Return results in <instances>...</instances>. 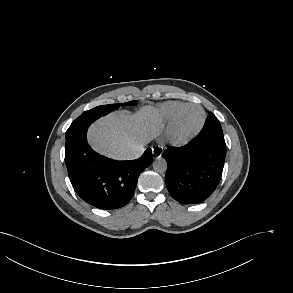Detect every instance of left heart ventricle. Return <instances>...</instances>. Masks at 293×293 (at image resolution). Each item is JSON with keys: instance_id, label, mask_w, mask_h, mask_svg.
Listing matches in <instances>:
<instances>
[{"instance_id": "obj_1", "label": "left heart ventricle", "mask_w": 293, "mask_h": 293, "mask_svg": "<svg viewBox=\"0 0 293 293\" xmlns=\"http://www.w3.org/2000/svg\"><path fill=\"white\" fill-rule=\"evenodd\" d=\"M202 113L197 107L185 108L178 119L177 133L180 136H185L191 133L200 123Z\"/></svg>"}]
</instances>
